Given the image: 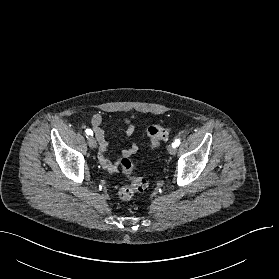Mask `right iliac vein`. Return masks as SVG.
Returning <instances> with one entry per match:
<instances>
[{"label": "right iliac vein", "mask_w": 279, "mask_h": 279, "mask_svg": "<svg viewBox=\"0 0 279 279\" xmlns=\"http://www.w3.org/2000/svg\"><path fill=\"white\" fill-rule=\"evenodd\" d=\"M88 145L92 149L97 147L96 139L93 136L88 137Z\"/></svg>", "instance_id": "63e3f726"}]
</instances>
